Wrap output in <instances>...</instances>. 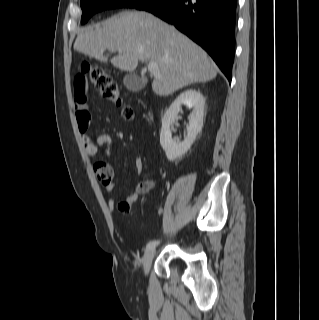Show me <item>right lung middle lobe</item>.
<instances>
[{
    "instance_id": "1",
    "label": "right lung middle lobe",
    "mask_w": 319,
    "mask_h": 320,
    "mask_svg": "<svg viewBox=\"0 0 319 320\" xmlns=\"http://www.w3.org/2000/svg\"><path fill=\"white\" fill-rule=\"evenodd\" d=\"M152 0H80L82 8L81 23L84 24L95 13L112 8H133L146 4Z\"/></svg>"
}]
</instances>
